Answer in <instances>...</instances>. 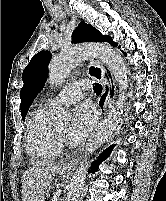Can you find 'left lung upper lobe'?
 <instances>
[{
	"label": "left lung upper lobe",
	"mask_w": 166,
	"mask_h": 201,
	"mask_svg": "<svg viewBox=\"0 0 166 201\" xmlns=\"http://www.w3.org/2000/svg\"><path fill=\"white\" fill-rule=\"evenodd\" d=\"M73 42H108L113 46L118 43L113 42L108 35H102L95 27L88 25L85 22H80L78 27L72 34ZM120 48V46L118 47ZM51 59V53L48 51H41L37 53L23 71L24 85L20 92L21 98V115L23 120L33 100L44 86L45 78L48 74V63ZM90 72L96 77H100V69L91 67Z\"/></svg>",
	"instance_id": "obj_1"
}]
</instances>
